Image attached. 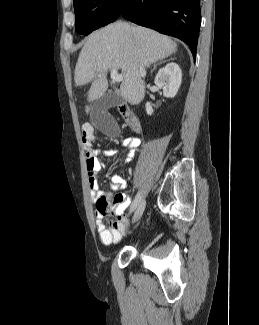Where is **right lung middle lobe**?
<instances>
[{
	"label": "right lung middle lobe",
	"mask_w": 259,
	"mask_h": 325,
	"mask_svg": "<svg viewBox=\"0 0 259 325\" xmlns=\"http://www.w3.org/2000/svg\"><path fill=\"white\" fill-rule=\"evenodd\" d=\"M126 0H73L75 29L88 35L92 31L115 21Z\"/></svg>",
	"instance_id": "dd1d6c3e"
}]
</instances>
